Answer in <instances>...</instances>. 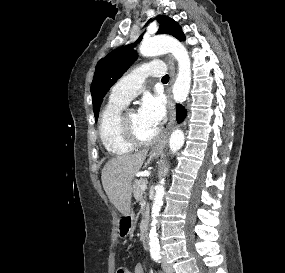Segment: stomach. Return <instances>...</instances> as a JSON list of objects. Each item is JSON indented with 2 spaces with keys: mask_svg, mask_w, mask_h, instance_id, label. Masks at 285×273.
I'll list each match as a JSON object with an SVG mask.
<instances>
[{
  "mask_svg": "<svg viewBox=\"0 0 285 273\" xmlns=\"http://www.w3.org/2000/svg\"><path fill=\"white\" fill-rule=\"evenodd\" d=\"M152 157L157 156V154H152ZM133 220H134V214L130 213L127 216H124L121 219V222L119 224V232L122 236H127L130 234L132 227H133Z\"/></svg>",
  "mask_w": 285,
  "mask_h": 273,
  "instance_id": "stomach-1",
  "label": "stomach"
}]
</instances>
